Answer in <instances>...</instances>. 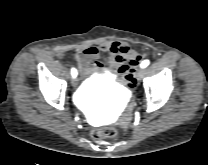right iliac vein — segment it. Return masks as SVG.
Wrapping results in <instances>:
<instances>
[{
  "label": "right iliac vein",
  "instance_id": "1",
  "mask_svg": "<svg viewBox=\"0 0 208 165\" xmlns=\"http://www.w3.org/2000/svg\"><path fill=\"white\" fill-rule=\"evenodd\" d=\"M71 84H72V86H73L74 88L77 86L78 82H77V79H76L75 77L72 78Z\"/></svg>",
  "mask_w": 208,
  "mask_h": 165
}]
</instances>
